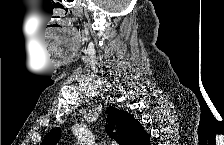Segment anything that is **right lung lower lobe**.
<instances>
[{"label": "right lung lower lobe", "instance_id": "right-lung-lower-lobe-1", "mask_svg": "<svg viewBox=\"0 0 224 145\" xmlns=\"http://www.w3.org/2000/svg\"><path fill=\"white\" fill-rule=\"evenodd\" d=\"M149 140H150V138L148 140H146V142H144V144L148 145L149 144Z\"/></svg>", "mask_w": 224, "mask_h": 145}]
</instances>
